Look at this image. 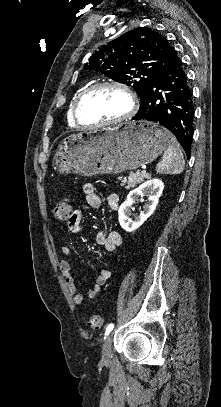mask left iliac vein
<instances>
[{
  "mask_svg": "<svg viewBox=\"0 0 221 407\" xmlns=\"http://www.w3.org/2000/svg\"><path fill=\"white\" fill-rule=\"evenodd\" d=\"M111 345H112V335L110 334L105 340L102 347V359L107 361L111 358Z\"/></svg>",
  "mask_w": 221,
  "mask_h": 407,
  "instance_id": "left-iliac-vein-1",
  "label": "left iliac vein"
}]
</instances>
